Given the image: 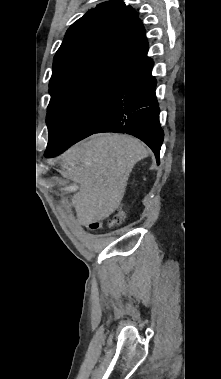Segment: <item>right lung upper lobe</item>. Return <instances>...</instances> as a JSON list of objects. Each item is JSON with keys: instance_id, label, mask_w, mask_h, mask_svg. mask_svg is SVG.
Returning a JSON list of instances; mask_svg holds the SVG:
<instances>
[{"instance_id": "1", "label": "right lung upper lobe", "mask_w": 221, "mask_h": 379, "mask_svg": "<svg viewBox=\"0 0 221 379\" xmlns=\"http://www.w3.org/2000/svg\"><path fill=\"white\" fill-rule=\"evenodd\" d=\"M136 11L124 2H104L67 30L56 52L50 94L96 78L122 79L152 61Z\"/></svg>"}]
</instances>
